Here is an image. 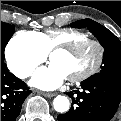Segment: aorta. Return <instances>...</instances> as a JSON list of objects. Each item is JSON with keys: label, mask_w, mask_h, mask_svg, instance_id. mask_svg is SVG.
Wrapping results in <instances>:
<instances>
[{"label": "aorta", "mask_w": 121, "mask_h": 121, "mask_svg": "<svg viewBox=\"0 0 121 121\" xmlns=\"http://www.w3.org/2000/svg\"><path fill=\"white\" fill-rule=\"evenodd\" d=\"M53 106L57 112L64 113L69 110L70 102L66 96L58 95L53 101Z\"/></svg>", "instance_id": "aorta-1"}]
</instances>
